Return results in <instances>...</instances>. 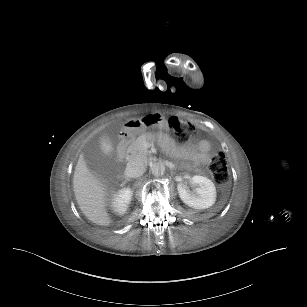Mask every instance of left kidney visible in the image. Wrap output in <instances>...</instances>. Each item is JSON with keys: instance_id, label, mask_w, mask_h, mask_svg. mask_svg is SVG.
<instances>
[{"instance_id": "5707ae66", "label": "left kidney", "mask_w": 307, "mask_h": 307, "mask_svg": "<svg viewBox=\"0 0 307 307\" xmlns=\"http://www.w3.org/2000/svg\"><path fill=\"white\" fill-rule=\"evenodd\" d=\"M191 184L198 187L190 191L181 183L177 185L179 197L186 205L194 209H207L214 205L217 196L216 187L210 179L195 175L191 179Z\"/></svg>"}]
</instances>
